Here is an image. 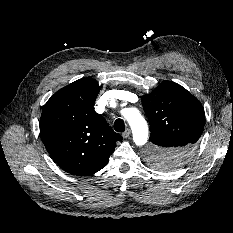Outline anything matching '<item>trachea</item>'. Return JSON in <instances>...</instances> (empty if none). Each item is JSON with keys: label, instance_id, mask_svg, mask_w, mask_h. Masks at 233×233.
<instances>
[{"label": "trachea", "instance_id": "3493384b", "mask_svg": "<svg viewBox=\"0 0 233 233\" xmlns=\"http://www.w3.org/2000/svg\"><path fill=\"white\" fill-rule=\"evenodd\" d=\"M114 129L117 132H124L125 131V124L122 119H116L114 122Z\"/></svg>", "mask_w": 233, "mask_h": 233}]
</instances>
